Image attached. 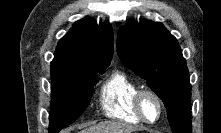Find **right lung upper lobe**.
Returning <instances> with one entry per match:
<instances>
[{"label": "right lung upper lobe", "mask_w": 221, "mask_h": 133, "mask_svg": "<svg viewBox=\"0 0 221 133\" xmlns=\"http://www.w3.org/2000/svg\"><path fill=\"white\" fill-rule=\"evenodd\" d=\"M113 56V30L109 23L99 26L91 18L77 21L59 41L51 74L79 66L109 63Z\"/></svg>", "instance_id": "right-lung-upper-lobe-1"}]
</instances>
